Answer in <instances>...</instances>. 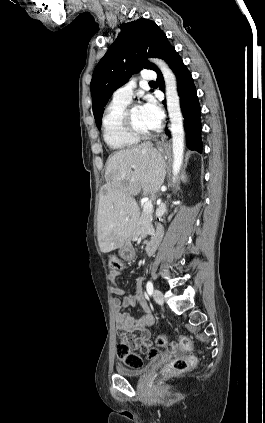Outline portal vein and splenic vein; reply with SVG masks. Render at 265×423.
Instances as JSON below:
<instances>
[{"mask_svg":"<svg viewBox=\"0 0 265 423\" xmlns=\"http://www.w3.org/2000/svg\"><path fill=\"white\" fill-rule=\"evenodd\" d=\"M143 211L147 213H151L153 211V204L151 201H147L144 203Z\"/></svg>","mask_w":265,"mask_h":423,"instance_id":"obj_1","label":"portal vein and splenic vein"}]
</instances>
